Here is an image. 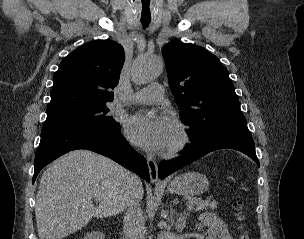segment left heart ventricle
<instances>
[{"label": "left heart ventricle", "mask_w": 304, "mask_h": 239, "mask_svg": "<svg viewBox=\"0 0 304 239\" xmlns=\"http://www.w3.org/2000/svg\"><path fill=\"white\" fill-rule=\"evenodd\" d=\"M175 138H176V130L174 129V131H173V133L171 135V138L169 140L168 145L171 144L175 140Z\"/></svg>", "instance_id": "left-heart-ventricle-1"}]
</instances>
